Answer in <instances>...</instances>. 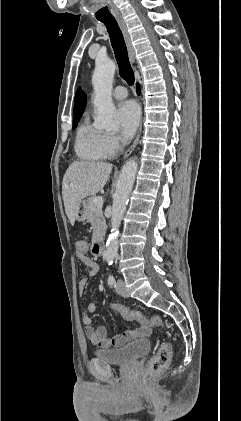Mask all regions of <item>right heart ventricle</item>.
Segmentation results:
<instances>
[{"label":"right heart ventricle","mask_w":241,"mask_h":421,"mask_svg":"<svg viewBox=\"0 0 241 421\" xmlns=\"http://www.w3.org/2000/svg\"><path fill=\"white\" fill-rule=\"evenodd\" d=\"M102 132L84 120L77 129L75 151L79 158L100 161L109 157L102 143Z\"/></svg>","instance_id":"obj_1"}]
</instances>
